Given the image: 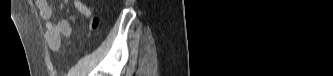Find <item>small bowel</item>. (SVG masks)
I'll return each instance as SVG.
<instances>
[{
  "instance_id": "obj_1",
  "label": "small bowel",
  "mask_w": 333,
  "mask_h": 76,
  "mask_svg": "<svg viewBox=\"0 0 333 76\" xmlns=\"http://www.w3.org/2000/svg\"><path fill=\"white\" fill-rule=\"evenodd\" d=\"M40 17L45 21L46 42L52 52H57L61 47L62 38H67L72 33L71 24L66 19H59L56 22L51 20L52 7L47 0H36ZM73 7L84 17L89 19L88 29L94 30L99 24L97 17H93L92 10L82 1L73 0Z\"/></svg>"
}]
</instances>
